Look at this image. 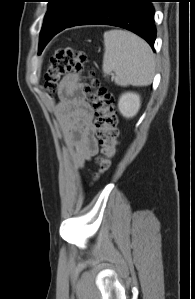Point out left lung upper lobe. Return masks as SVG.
I'll use <instances>...</instances> for the list:
<instances>
[{
  "label": "left lung upper lobe",
  "mask_w": 195,
  "mask_h": 299,
  "mask_svg": "<svg viewBox=\"0 0 195 299\" xmlns=\"http://www.w3.org/2000/svg\"><path fill=\"white\" fill-rule=\"evenodd\" d=\"M87 2L88 0H49L40 33L39 53L48 43L50 33L67 27L81 13Z\"/></svg>",
  "instance_id": "obj_1"
}]
</instances>
